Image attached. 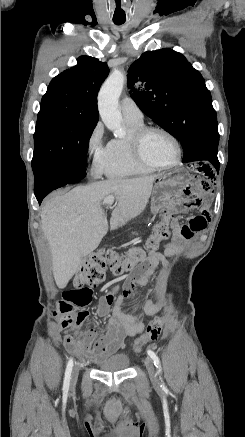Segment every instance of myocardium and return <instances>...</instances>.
Wrapping results in <instances>:
<instances>
[{"instance_id":"1","label":"myocardium","mask_w":245,"mask_h":437,"mask_svg":"<svg viewBox=\"0 0 245 437\" xmlns=\"http://www.w3.org/2000/svg\"><path fill=\"white\" fill-rule=\"evenodd\" d=\"M153 131L163 133L173 142V144L176 148V158H175L173 163L168 164V165H160V164L153 163L144 157V155L142 153V140L146 134H148L149 132H153ZM129 144H130V149H131V152H132L134 158L142 165L149 167V168H152V169H156V170L172 169V168L178 166V164L181 161L182 149H181V145H180L179 140L176 138V136L172 132H170L168 129L161 127V126H156V125L142 126L141 128L136 130L130 136Z\"/></svg>"}]
</instances>
